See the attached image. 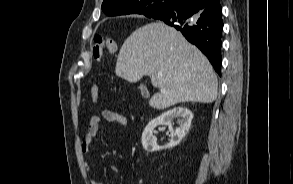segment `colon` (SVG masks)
Returning <instances> with one entry per match:
<instances>
[{
	"mask_svg": "<svg viewBox=\"0 0 293 184\" xmlns=\"http://www.w3.org/2000/svg\"><path fill=\"white\" fill-rule=\"evenodd\" d=\"M105 52L114 54L117 52V44L111 38H106L100 35L94 37L92 43V55L96 62H100ZM99 95V87L97 83H93L91 87V100L95 102Z\"/></svg>",
	"mask_w": 293,
	"mask_h": 184,
	"instance_id": "5ec220e1",
	"label": "colon"
}]
</instances>
